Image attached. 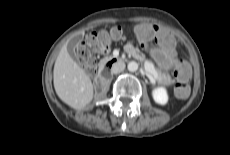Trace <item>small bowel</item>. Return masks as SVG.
<instances>
[{
	"mask_svg": "<svg viewBox=\"0 0 230 155\" xmlns=\"http://www.w3.org/2000/svg\"><path fill=\"white\" fill-rule=\"evenodd\" d=\"M134 35L139 38L142 46L148 47L155 43L162 50V56L166 60H173L177 56L175 36L169 29H162L158 22L137 23L134 26Z\"/></svg>",
	"mask_w": 230,
	"mask_h": 155,
	"instance_id": "obj_1",
	"label": "small bowel"
}]
</instances>
